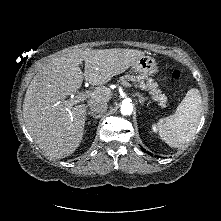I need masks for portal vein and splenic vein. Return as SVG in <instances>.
Masks as SVG:
<instances>
[{
	"label": "portal vein and splenic vein",
	"mask_w": 221,
	"mask_h": 221,
	"mask_svg": "<svg viewBox=\"0 0 221 221\" xmlns=\"http://www.w3.org/2000/svg\"><path fill=\"white\" fill-rule=\"evenodd\" d=\"M121 85L125 86V87H131L132 85L129 84L128 82H122ZM89 96V93L86 92H80L78 93V95L74 98L73 102L74 103H79L82 101H85Z\"/></svg>",
	"instance_id": "obj_1"
}]
</instances>
